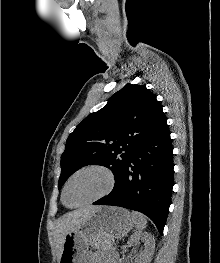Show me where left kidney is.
<instances>
[{
    "label": "left kidney",
    "instance_id": "obj_1",
    "mask_svg": "<svg viewBox=\"0 0 220 263\" xmlns=\"http://www.w3.org/2000/svg\"><path fill=\"white\" fill-rule=\"evenodd\" d=\"M143 242L145 249L144 251L136 258V263H149L155 248V239L152 234L148 232H136L128 240V246H131L136 242Z\"/></svg>",
    "mask_w": 220,
    "mask_h": 263
}]
</instances>
